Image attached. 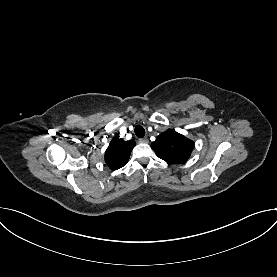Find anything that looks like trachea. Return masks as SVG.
Listing matches in <instances>:
<instances>
[{
    "mask_svg": "<svg viewBox=\"0 0 277 277\" xmlns=\"http://www.w3.org/2000/svg\"><path fill=\"white\" fill-rule=\"evenodd\" d=\"M135 134L138 138H143L145 136V129L142 126L137 125L135 127Z\"/></svg>",
    "mask_w": 277,
    "mask_h": 277,
    "instance_id": "1",
    "label": "trachea"
}]
</instances>
